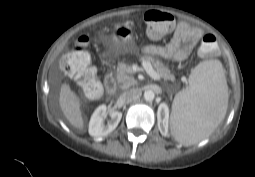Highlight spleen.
<instances>
[{"instance_id":"1","label":"spleen","mask_w":255,"mask_h":177,"mask_svg":"<svg viewBox=\"0 0 255 177\" xmlns=\"http://www.w3.org/2000/svg\"><path fill=\"white\" fill-rule=\"evenodd\" d=\"M228 86L218 60L200 62L189 76V87L177 93L170 118L173 137L185 146L208 137L224 119Z\"/></svg>"}]
</instances>
